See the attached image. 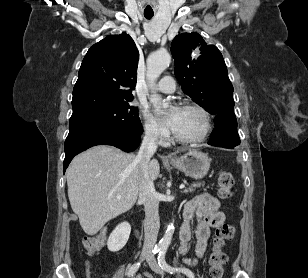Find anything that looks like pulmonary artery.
Wrapping results in <instances>:
<instances>
[{"mask_svg": "<svg viewBox=\"0 0 308 278\" xmlns=\"http://www.w3.org/2000/svg\"><path fill=\"white\" fill-rule=\"evenodd\" d=\"M155 89L162 93H173L175 91V82L170 76H165L160 80Z\"/></svg>", "mask_w": 308, "mask_h": 278, "instance_id": "obj_1", "label": "pulmonary artery"}]
</instances>
